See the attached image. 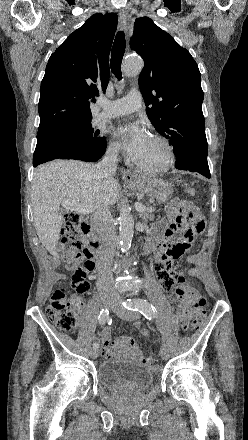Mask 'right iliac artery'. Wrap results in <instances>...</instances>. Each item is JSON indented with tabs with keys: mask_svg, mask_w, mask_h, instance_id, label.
Segmentation results:
<instances>
[{
	"mask_svg": "<svg viewBox=\"0 0 248 440\" xmlns=\"http://www.w3.org/2000/svg\"><path fill=\"white\" fill-rule=\"evenodd\" d=\"M98 321H99L100 325H105L106 322L109 321V311H108L107 308H105V309L103 308L100 311L99 316H98ZM93 348L94 349H98L99 348V344L97 342H94L93 343Z\"/></svg>",
	"mask_w": 248,
	"mask_h": 440,
	"instance_id": "right-iliac-artery-1",
	"label": "right iliac artery"
}]
</instances>
